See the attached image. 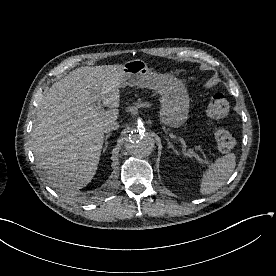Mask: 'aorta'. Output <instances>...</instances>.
I'll list each match as a JSON object with an SVG mask.
<instances>
[{
    "label": "aorta",
    "instance_id": "762f6f07",
    "mask_svg": "<svg viewBox=\"0 0 276 276\" xmlns=\"http://www.w3.org/2000/svg\"><path fill=\"white\" fill-rule=\"evenodd\" d=\"M155 148L154 137L146 132L133 131L129 134L126 141L127 151L139 158L149 156Z\"/></svg>",
    "mask_w": 276,
    "mask_h": 276
}]
</instances>
